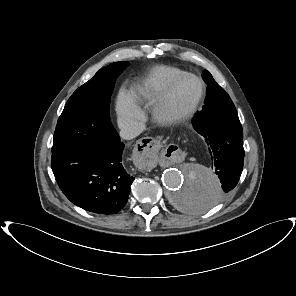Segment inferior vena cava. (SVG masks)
Listing matches in <instances>:
<instances>
[{
    "label": "inferior vena cava",
    "instance_id": "1",
    "mask_svg": "<svg viewBox=\"0 0 296 296\" xmlns=\"http://www.w3.org/2000/svg\"><path fill=\"white\" fill-rule=\"evenodd\" d=\"M145 126L141 122H132L123 126L120 130V136L123 139L130 140L140 135Z\"/></svg>",
    "mask_w": 296,
    "mask_h": 296
}]
</instances>
